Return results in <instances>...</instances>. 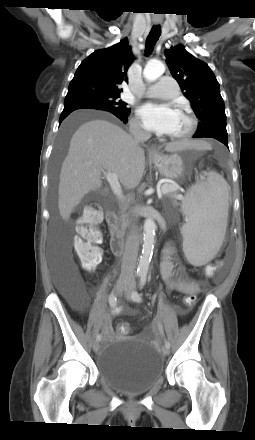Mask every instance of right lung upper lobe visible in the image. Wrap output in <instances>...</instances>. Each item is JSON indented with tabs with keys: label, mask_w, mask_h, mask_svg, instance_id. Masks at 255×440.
I'll return each instance as SVG.
<instances>
[{
	"label": "right lung upper lobe",
	"mask_w": 255,
	"mask_h": 440,
	"mask_svg": "<svg viewBox=\"0 0 255 440\" xmlns=\"http://www.w3.org/2000/svg\"><path fill=\"white\" fill-rule=\"evenodd\" d=\"M127 39L107 49L94 51L82 61L71 80L66 97L89 93L120 94L127 82V70L134 61Z\"/></svg>",
	"instance_id": "right-lung-upper-lobe-1"
}]
</instances>
